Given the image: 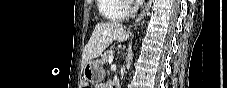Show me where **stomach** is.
I'll use <instances>...</instances> for the list:
<instances>
[{"instance_id":"1","label":"stomach","mask_w":227,"mask_h":88,"mask_svg":"<svg viewBox=\"0 0 227 88\" xmlns=\"http://www.w3.org/2000/svg\"><path fill=\"white\" fill-rule=\"evenodd\" d=\"M84 76L91 83L102 81L105 76L103 62L99 59L89 61L84 67Z\"/></svg>"}]
</instances>
